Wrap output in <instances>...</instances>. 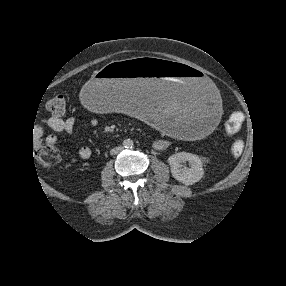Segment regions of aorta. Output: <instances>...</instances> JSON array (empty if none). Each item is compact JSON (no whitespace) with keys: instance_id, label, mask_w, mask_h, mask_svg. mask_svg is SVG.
<instances>
[{"instance_id":"1","label":"aorta","mask_w":286,"mask_h":286,"mask_svg":"<svg viewBox=\"0 0 286 286\" xmlns=\"http://www.w3.org/2000/svg\"><path fill=\"white\" fill-rule=\"evenodd\" d=\"M133 145H134V143H133V141L130 140V139H127V140L124 141V147H125V148H132Z\"/></svg>"}]
</instances>
